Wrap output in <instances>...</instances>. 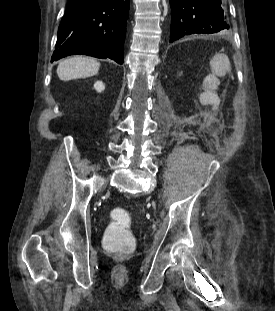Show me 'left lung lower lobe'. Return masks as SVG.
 <instances>
[{
    "mask_svg": "<svg viewBox=\"0 0 275 311\" xmlns=\"http://www.w3.org/2000/svg\"><path fill=\"white\" fill-rule=\"evenodd\" d=\"M170 43L192 34H213L229 29L222 0H170Z\"/></svg>",
    "mask_w": 275,
    "mask_h": 311,
    "instance_id": "0a47b994",
    "label": "left lung lower lobe"
}]
</instances>
